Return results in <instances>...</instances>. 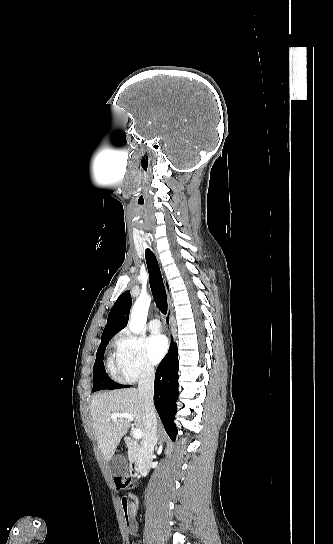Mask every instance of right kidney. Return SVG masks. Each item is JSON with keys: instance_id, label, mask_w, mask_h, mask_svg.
Returning a JSON list of instances; mask_svg holds the SVG:
<instances>
[{"instance_id": "right-kidney-1", "label": "right kidney", "mask_w": 333, "mask_h": 544, "mask_svg": "<svg viewBox=\"0 0 333 544\" xmlns=\"http://www.w3.org/2000/svg\"><path fill=\"white\" fill-rule=\"evenodd\" d=\"M162 453V446L160 445L159 449H158V454H161Z\"/></svg>"}]
</instances>
